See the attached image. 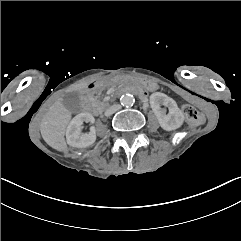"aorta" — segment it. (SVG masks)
Listing matches in <instances>:
<instances>
[{
    "label": "aorta",
    "instance_id": "1",
    "mask_svg": "<svg viewBox=\"0 0 241 241\" xmlns=\"http://www.w3.org/2000/svg\"><path fill=\"white\" fill-rule=\"evenodd\" d=\"M121 105L129 107L132 106L135 102L134 96L131 94H124L120 98Z\"/></svg>",
    "mask_w": 241,
    "mask_h": 241
}]
</instances>
